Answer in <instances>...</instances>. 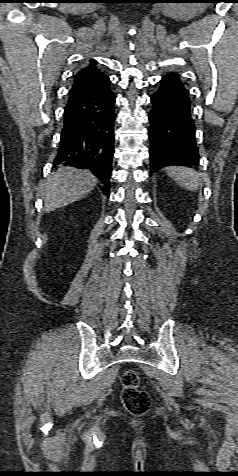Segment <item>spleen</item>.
Masks as SVG:
<instances>
[{
	"label": "spleen",
	"mask_w": 238,
	"mask_h": 476,
	"mask_svg": "<svg viewBox=\"0 0 238 476\" xmlns=\"http://www.w3.org/2000/svg\"><path fill=\"white\" fill-rule=\"evenodd\" d=\"M166 173L175 180L181 187L187 190L196 191L201 185L200 173L186 167H167Z\"/></svg>",
	"instance_id": "obj_1"
}]
</instances>
